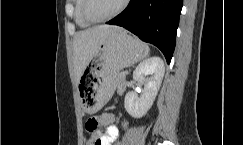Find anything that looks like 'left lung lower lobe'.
<instances>
[{
  "mask_svg": "<svg viewBox=\"0 0 243 145\" xmlns=\"http://www.w3.org/2000/svg\"><path fill=\"white\" fill-rule=\"evenodd\" d=\"M182 5L183 0H130L126 9L107 23L122 26L154 44L170 63Z\"/></svg>",
  "mask_w": 243,
  "mask_h": 145,
  "instance_id": "0a47b994",
  "label": "left lung lower lobe"
}]
</instances>
